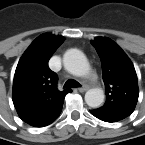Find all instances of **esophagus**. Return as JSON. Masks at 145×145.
I'll use <instances>...</instances> for the list:
<instances>
[{
  "mask_svg": "<svg viewBox=\"0 0 145 145\" xmlns=\"http://www.w3.org/2000/svg\"><path fill=\"white\" fill-rule=\"evenodd\" d=\"M89 89V86L88 85H83L81 88H79L78 90L80 91V92H85V91H87Z\"/></svg>",
  "mask_w": 145,
  "mask_h": 145,
  "instance_id": "esophagus-1",
  "label": "esophagus"
}]
</instances>
